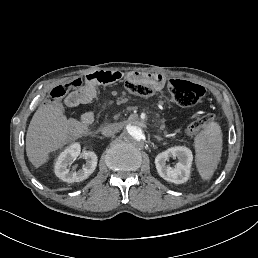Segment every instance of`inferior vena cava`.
Wrapping results in <instances>:
<instances>
[{
    "label": "inferior vena cava",
    "mask_w": 258,
    "mask_h": 258,
    "mask_svg": "<svg viewBox=\"0 0 258 258\" xmlns=\"http://www.w3.org/2000/svg\"><path fill=\"white\" fill-rule=\"evenodd\" d=\"M101 132L104 136L109 137L118 132V129H116L113 124H108L102 128Z\"/></svg>",
    "instance_id": "inferior-vena-cava-1"
}]
</instances>
